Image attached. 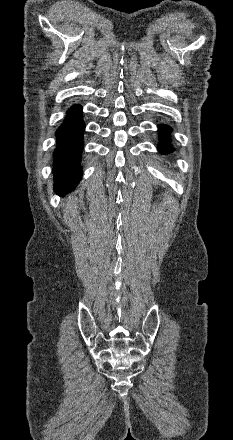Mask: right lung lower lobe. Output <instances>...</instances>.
I'll return each instance as SVG.
<instances>
[{
	"label": "right lung lower lobe",
	"mask_w": 233,
	"mask_h": 440,
	"mask_svg": "<svg viewBox=\"0 0 233 440\" xmlns=\"http://www.w3.org/2000/svg\"><path fill=\"white\" fill-rule=\"evenodd\" d=\"M82 108L74 105L67 113L66 119L56 132L57 148L54 152L55 191L60 195L75 188L81 177L80 156L83 148Z\"/></svg>",
	"instance_id": "right-lung-lower-lobe-1"
}]
</instances>
